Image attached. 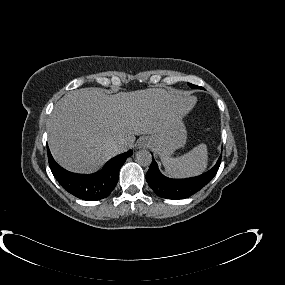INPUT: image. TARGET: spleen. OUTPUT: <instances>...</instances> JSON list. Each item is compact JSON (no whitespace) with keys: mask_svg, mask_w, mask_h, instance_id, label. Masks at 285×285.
I'll use <instances>...</instances> for the list:
<instances>
[{"mask_svg":"<svg viewBox=\"0 0 285 285\" xmlns=\"http://www.w3.org/2000/svg\"><path fill=\"white\" fill-rule=\"evenodd\" d=\"M165 173L174 178H185L202 174L208 165L206 144H199L180 157H161Z\"/></svg>","mask_w":285,"mask_h":285,"instance_id":"3e777b00","label":"spleen"}]
</instances>
